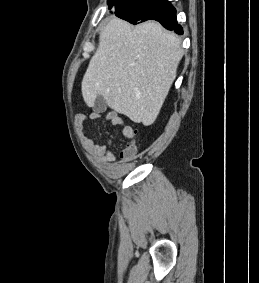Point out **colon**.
I'll return each mask as SVG.
<instances>
[{"instance_id": "5ec220e1", "label": "colon", "mask_w": 259, "mask_h": 283, "mask_svg": "<svg viewBox=\"0 0 259 283\" xmlns=\"http://www.w3.org/2000/svg\"><path fill=\"white\" fill-rule=\"evenodd\" d=\"M136 153V145L134 141H130L126 144L123 150V158L131 159Z\"/></svg>"}]
</instances>
